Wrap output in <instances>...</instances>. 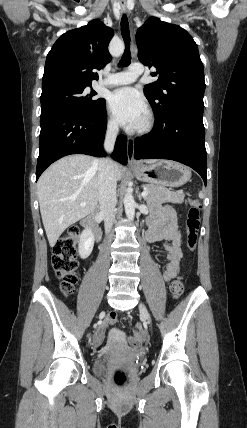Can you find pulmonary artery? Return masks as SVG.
Instances as JSON below:
<instances>
[{"instance_id":"1","label":"pulmonary artery","mask_w":247,"mask_h":428,"mask_svg":"<svg viewBox=\"0 0 247 428\" xmlns=\"http://www.w3.org/2000/svg\"><path fill=\"white\" fill-rule=\"evenodd\" d=\"M143 73L144 67L139 63H134L128 70L112 74L107 80L103 81V84L107 86L130 84Z\"/></svg>"}]
</instances>
